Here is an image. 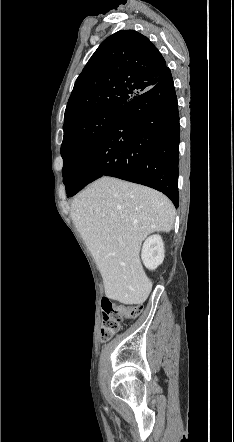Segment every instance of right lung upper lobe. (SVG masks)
<instances>
[{"label": "right lung upper lobe", "instance_id": "cb5924a9", "mask_svg": "<svg viewBox=\"0 0 234 442\" xmlns=\"http://www.w3.org/2000/svg\"><path fill=\"white\" fill-rule=\"evenodd\" d=\"M166 69L164 58L147 37L133 30L114 33L100 44L77 78L64 126L101 109L121 108L153 87Z\"/></svg>", "mask_w": 234, "mask_h": 442}]
</instances>
